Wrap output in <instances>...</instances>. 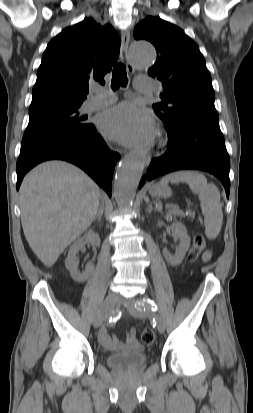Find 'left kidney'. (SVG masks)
<instances>
[{
	"instance_id": "obj_1",
	"label": "left kidney",
	"mask_w": 253,
	"mask_h": 413,
	"mask_svg": "<svg viewBox=\"0 0 253 413\" xmlns=\"http://www.w3.org/2000/svg\"><path fill=\"white\" fill-rule=\"evenodd\" d=\"M163 224L164 223L161 221L158 222V226H161ZM170 228L173 235L179 238L180 245L174 255H172L167 249L163 250V255L168 263L176 266L182 263L185 254L190 247V237L187 234L186 227L181 223H173Z\"/></svg>"
}]
</instances>
